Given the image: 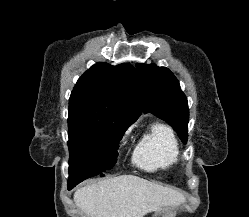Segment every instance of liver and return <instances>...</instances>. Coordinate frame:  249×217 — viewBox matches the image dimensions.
<instances>
[{"label": "liver", "mask_w": 249, "mask_h": 217, "mask_svg": "<svg viewBox=\"0 0 249 217\" xmlns=\"http://www.w3.org/2000/svg\"><path fill=\"white\" fill-rule=\"evenodd\" d=\"M184 201L181 193L133 175L100 180L74 193L75 205L87 217H144Z\"/></svg>", "instance_id": "1"}]
</instances>
